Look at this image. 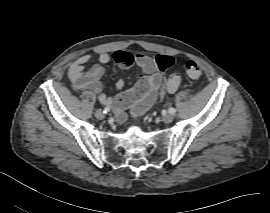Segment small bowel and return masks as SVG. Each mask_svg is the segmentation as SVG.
Instances as JSON below:
<instances>
[{
	"instance_id": "obj_1",
	"label": "small bowel",
	"mask_w": 270,
	"mask_h": 213,
	"mask_svg": "<svg viewBox=\"0 0 270 213\" xmlns=\"http://www.w3.org/2000/svg\"><path fill=\"white\" fill-rule=\"evenodd\" d=\"M159 58H168L169 64L164 66ZM89 59V54H83L70 64L68 75L71 82L77 88L94 92L103 105L113 107L116 113L119 114L120 111L125 109L130 103L125 101L124 95L122 94L112 97L103 93L101 77L104 74V68L101 65H94L88 70L85 69V65ZM112 59L117 62L120 68H126L128 66V62L124 60L120 61L107 52H100L98 54V60L102 65L108 64ZM173 63V58L170 56H160L157 59H152L144 55L135 57L133 64L139 66L145 72V75L139 79L133 89L137 90L140 94L138 103H133V113L135 115H141L156 101L159 88L163 84V74L161 71L169 69ZM124 86L125 82L123 79L119 80L116 84L118 90L122 89Z\"/></svg>"
}]
</instances>
